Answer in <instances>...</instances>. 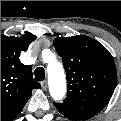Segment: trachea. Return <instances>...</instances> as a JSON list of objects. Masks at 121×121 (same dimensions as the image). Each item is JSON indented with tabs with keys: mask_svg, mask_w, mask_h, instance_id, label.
I'll return each instance as SVG.
<instances>
[{
	"mask_svg": "<svg viewBox=\"0 0 121 121\" xmlns=\"http://www.w3.org/2000/svg\"><path fill=\"white\" fill-rule=\"evenodd\" d=\"M34 75H35V80L36 81H43L45 78V70L43 67H38L36 68V70L34 71Z\"/></svg>",
	"mask_w": 121,
	"mask_h": 121,
	"instance_id": "obj_1",
	"label": "trachea"
}]
</instances>
